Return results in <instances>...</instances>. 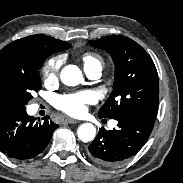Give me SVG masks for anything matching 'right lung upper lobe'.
<instances>
[{"instance_id": "obj_1", "label": "right lung upper lobe", "mask_w": 183, "mask_h": 183, "mask_svg": "<svg viewBox=\"0 0 183 183\" xmlns=\"http://www.w3.org/2000/svg\"><path fill=\"white\" fill-rule=\"evenodd\" d=\"M71 45L46 35H32L18 39L0 51V79L24 71L31 59L37 55L49 56L66 50ZM9 108L0 102V114Z\"/></svg>"}]
</instances>
